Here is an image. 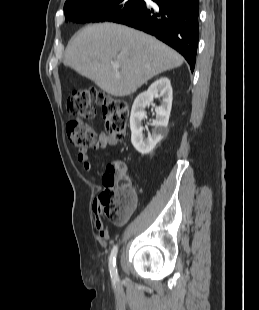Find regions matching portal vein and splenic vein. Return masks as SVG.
<instances>
[{"mask_svg":"<svg viewBox=\"0 0 259 310\" xmlns=\"http://www.w3.org/2000/svg\"><path fill=\"white\" fill-rule=\"evenodd\" d=\"M112 66L115 68V69H118L119 68V64L117 62H113L112 63Z\"/></svg>","mask_w":259,"mask_h":310,"instance_id":"18ae733b","label":"portal vein and splenic vein"}]
</instances>
